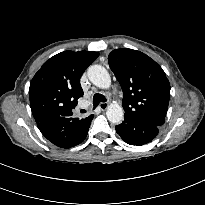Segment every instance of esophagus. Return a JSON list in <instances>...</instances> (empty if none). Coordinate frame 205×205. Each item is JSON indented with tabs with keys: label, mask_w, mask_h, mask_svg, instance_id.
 Here are the masks:
<instances>
[{
	"label": "esophagus",
	"mask_w": 205,
	"mask_h": 205,
	"mask_svg": "<svg viewBox=\"0 0 205 205\" xmlns=\"http://www.w3.org/2000/svg\"><path fill=\"white\" fill-rule=\"evenodd\" d=\"M107 107H108V103H106V102H102V103L99 104V108H100L102 111L106 110Z\"/></svg>",
	"instance_id": "34e87169"
}]
</instances>
